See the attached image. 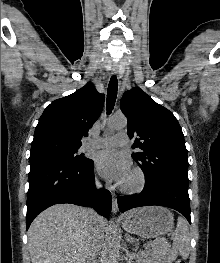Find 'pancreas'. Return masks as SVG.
Returning a JSON list of instances; mask_svg holds the SVG:
<instances>
[{"label": "pancreas", "mask_w": 220, "mask_h": 263, "mask_svg": "<svg viewBox=\"0 0 220 263\" xmlns=\"http://www.w3.org/2000/svg\"><path fill=\"white\" fill-rule=\"evenodd\" d=\"M154 249L158 252V254L170 263L171 260L174 259L175 255L172 253L170 249V245L164 242H157ZM172 253V254H171Z\"/></svg>", "instance_id": "obj_1"}]
</instances>
